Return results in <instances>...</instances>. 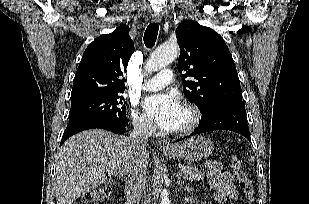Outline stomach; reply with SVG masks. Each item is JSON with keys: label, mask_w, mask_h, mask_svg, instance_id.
I'll return each instance as SVG.
<instances>
[{"label": "stomach", "mask_w": 309, "mask_h": 204, "mask_svg": "<svg viewBox=\"0 0 309 204\" xmlns=\"http://www.w3.org/2000/svg\"><path fill=\"white\" fill-rule=\"evenodd\" d=\"M213 143L210 139L198 135L176 144L174 149L164 151L168 157L176 159H186L188 161H199L206 159L213 151Z\"/></svg>", "instance_id": "obj_1"}]
</instances>
